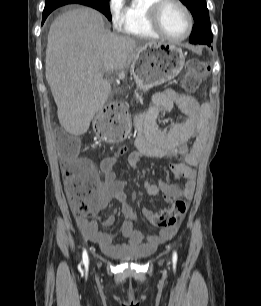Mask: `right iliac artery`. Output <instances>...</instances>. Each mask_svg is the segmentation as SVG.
Returning a JSON list of instances; mask_svg holds the SVG:
<instances>
[{
  "label": "right iliac artery",
  "instance_id": "1",
  "mask_svg": "<svg viewBox=\"0 0 261 306\" xmlns=\"http://www.w3.org/2000/svg\"><path fill=\"white\" fill-rule=\"evenodd\" d=\"M83 263L85 266H88L89 264L88 254L86 250L83 251Z\"/></svg>",
  "mask_w": 261,
  "mask_h": 306
}]
</instances>
